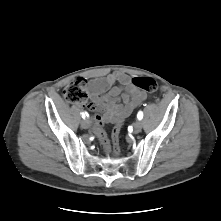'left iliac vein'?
<instances>
[{
    "mask_svg": "<svg viewBox=\"0 0 221 221\" xmlns=\"http://www.w3.org/2000/svg\"><path fill=\"white\" fill-rule=\"evenodd\" d=\"M141 130H142V122L138 120L133 125V131L135 134H138L141 132Z\"/></svg>",
    "mask_w": 221,
    "mask_h": 221,
    "instance_id": "4c4485c4",
    "label": "left iliac vein"
}]
</instances>
